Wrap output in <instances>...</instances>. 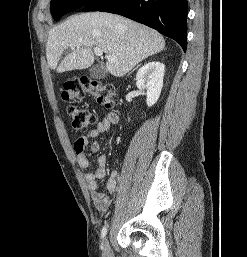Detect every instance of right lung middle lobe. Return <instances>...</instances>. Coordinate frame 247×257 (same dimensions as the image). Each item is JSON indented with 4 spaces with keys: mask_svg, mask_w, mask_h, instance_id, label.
Segmentation results:
<instances>
[{
    "mask_svg": "<svg viewBox=\"0 0 247 257\" xmlns=\"http://www.w3.org/2000/svg\"><path fill=\"white\" fill-rule=\"evenodd\" d=\"M93 0H51L50 9L53 18L57 21L64 14L81 8L91 3Z\"/></svg>",
    "mask_w": 247,
    "mask_h": 257,
    "instance_id": "right-lung-middle-lobe-1",
    "label": "right lung middle lobe"
}]
</instances>
